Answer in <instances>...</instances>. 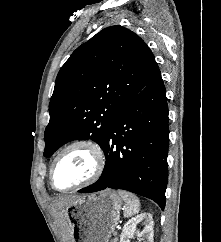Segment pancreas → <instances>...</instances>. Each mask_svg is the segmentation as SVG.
<instances>
[{"mask_svg":"<svg viewBox=\"0 0 221 242\" xmlns=\"http://www.w3.org/2000/svg\"><path fill=\"white\" fill-rule=\"evenodd\" d=\"M117 241H118V239H117V237H115L114 239H112L111 242H117Z\"/></svg>","mask_w":221,"mask_h":242,"instance_id":"1","label":"pancreas"}]
</instances>
